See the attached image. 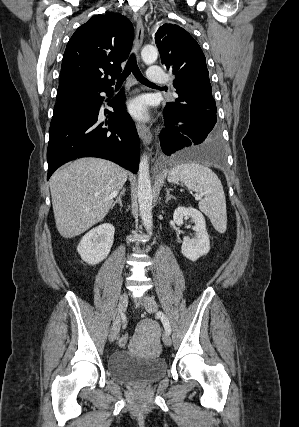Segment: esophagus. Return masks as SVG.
<instances>
[{"label": "esophagus", "instance_id": "obj_1", "mask_svg": "<svg viewBox=\"0 0 299 427\" xmlns=\"http://www.w3.org/2000/svg\"><path fill=\"white\" fill-rule=\"evenodd\" d=\"M135 20H136V36H135V42H134V50L139 59V50L142 46L143 38H144V27H143L142 19L140 16L136 15ZM136 129L144 144L148 145L152 142V134L148 126H146L145 124L136 123Z\"/></svg>", "mask_w": 299, "mask_h": 427}]
</instances>
